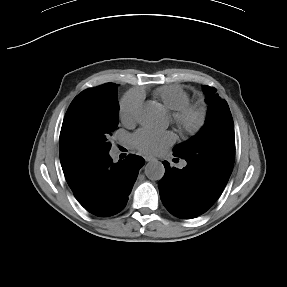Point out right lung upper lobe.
I'll use <instances>...</instances> for the list:
<instances>
[{
  "mask_svg": "<svg viewBox=\"0 0 287 287\" xmlns=\"http://www.w3.org/2000/svg\"><path fill=\"white\" fill-rule=\"evenodd\" d=\"M108 86L117 87L118 85H117V84H114V83H106V84L100 85V86L95 87V88L108 87ZM74 176H75V174L68 175V176L66 177L67 181H70Z\"/></svg>",
  "mask_w": 287,
  "mask_h": 287,
  "instance_id": "cb5924a9",
  "label": "right lung upper lobe"
}]
</instances>
